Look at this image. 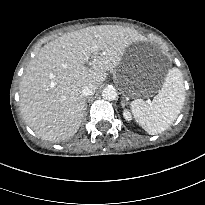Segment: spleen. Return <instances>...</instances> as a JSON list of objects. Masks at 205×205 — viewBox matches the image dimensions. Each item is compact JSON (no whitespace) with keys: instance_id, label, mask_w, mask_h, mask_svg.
Wrapping results in <instances>:
<instances>
[{"instance_id":"1","label":"spleen","mask_w":205,"mask_h":205,"mask_svg":"<svg viewBox=\"0 0 205 205\" xmlns=\"http://www.w3.org/2000/svg\"><path fill=\"white\" fill-rule=\"evenodd\" d=\"M185 101L181 71L169 69L159 93L152 102L136 99L130 107L136 122L150 135L165 131L178 117Z\"/></svg>"}]
</instances>
